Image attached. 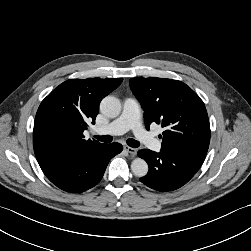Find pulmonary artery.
Returning <instances> with one entry per match:
<instances>
[{"instance_id":"1","label":"pulmonary artery","mask_w":251,"mask_h":251,"mask_svg":"<svg viewBox=\"0 0 251 251\" xmlns=\"http://www.w3.org/2000/svg\"><path fill=\"white\" fill-rule=\"evenodd\" d=\"M128 130H132L136 138L148 148L160 151L161 142L143 128L139 103L133 97L123 100V110L117 119L105 127L95 129L94 132L97 135H120Z\"/></svg>"}]
</instances>
